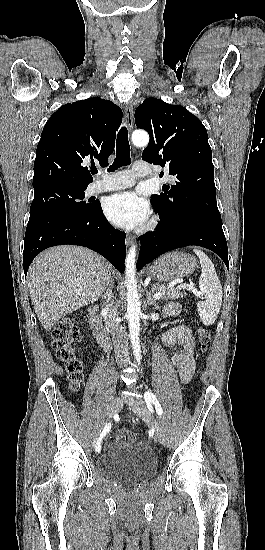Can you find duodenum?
I'll use <instances>...</instances> for the list:
<instances>
[{
	"label": "duodenum",
	"mask_w": 265,
	"mask_h": 550,
	"mask_svg": "<svg viewBox=\"0 0 265 550\" xmlns=\"http://www.w3.org/2000/svg\"><path fill=\"white\" fill-rule=\"evenodd\" d=\"M98 313V307L97 306H91L89 310V316H90V327L95 335L97 343L101 347H109V338L107 335V331L104 329L101 320L97 316Z\"/></svg>",
	"instance_id": "duodenum-1"
}]
</instances>
